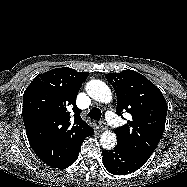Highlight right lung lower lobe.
Returning a JSON list of instances; mask_svg holds the SVG:
<instances>
[{
    "instance_id": "right-lung-lower-lobe-1",
    "label": "right lung lower lobe",
    "mask_w": 187,
    "mask_h": 187,
    "mask_svg": "<svg viewBox=\"0 0 187 187\" xmlns=\"http://www.w3.org/2000/svg\"><path fill=\"white\" fill-rule=\"evenodd\" d=\"M82 142H83V140L75 147V149L72 153V156L70 157V159L68 161L63 162L59 165L53 166V168H66V167L72 165L78 158V154L80 152V147H81Z\"/></svg>"
}]
</instances>
